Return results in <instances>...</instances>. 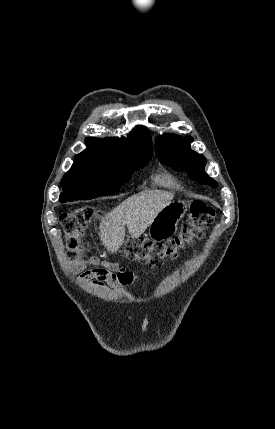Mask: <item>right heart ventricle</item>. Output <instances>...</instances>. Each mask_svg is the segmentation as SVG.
<instances>
[{"label":"right heart ventricle","mask_w":275,"mask_h":429,"mask_svg":"<svg viewBox=\"0 0 275 429\" xmlns=\"http://www.w3.org/2000/svg\"><path fill=\"white\" fill-rule=\"evenodd\" d=\"M165 183L168 185H171V184H173V181L172 180H166Z\"/></svg>","instance_id":"obj_1"}]
</instances>
